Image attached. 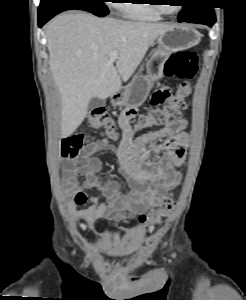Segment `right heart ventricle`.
<instances>
[{"mask_svg": "<svg viewBox=\"0 0 246 300\" xmlns=\"http://www.w3.org/2000/svg\"><path fill=\"white\" fill-rule=\"evenodd\" d=\"M130 3L115 4L120 13L131 20L157 22L162 15L157 11L152 0H127Z\"/></svg>", "mask_w": 246, "mask_h": 300, "instance_id": "e07e8e85", "label": "right heart ventricle"}]
</instances>
